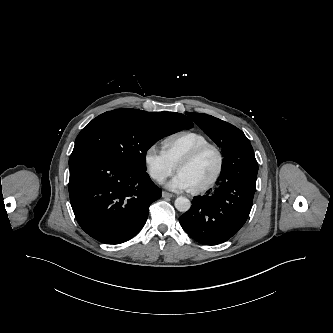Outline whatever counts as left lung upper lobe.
Returning <instances> with one entry per match:
<instances>
[{"label": "left lung upper lobe", "instance_id": "1", "mask_svg": "<svg viewBox=\"0 0 333 333\" xmlns=\"http://www.w3.org/2000/svg\"><path fill=\"white\" fill-rule=\"evenodd\" d=\"M187 115L222 149L224 156L239 145L249 142L244 133L230 123L202 113Z\"/></svg>", "mask_w": 333, "mask_h": 333}]
</instances>
